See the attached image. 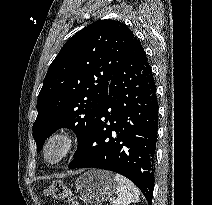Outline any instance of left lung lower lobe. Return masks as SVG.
<instances>
[{"instance_id":"0a47b994","label":"left lung lower lobe","mask_w":212,"mask_h":205,"mask_svg":"<svg viewBox=\"0 0 212 205\" xmlns=\"http://www.w3.org/2000/svg\"><path fill=\"white\" fill-rule=\"evenodd\" d=\"M158 131L156 85L145 51L134 37L118 63L108 96L69 168H100L130 179L152 205Z\"/></svg>"}]
</instances>
